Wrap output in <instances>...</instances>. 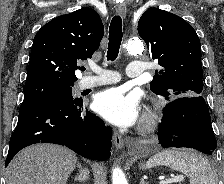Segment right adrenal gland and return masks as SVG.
<instances>
[{
	"label": "right adrenal gland",
	"mask_w": 224,
	"mask_h": 184,
	"mask_svg": "<svg viewBox=\"0 0 224 184\" xmlns=\"http://www.w3.org/2000/svg\"><path fill=\"white\" fill-rule=\"evenodd\" d=\"M77 167L79 168V173L75 177V181H79L80 183H84L89 179V170L81 165V163H77Z\"/></svg>",
	"instance_id": "right-adrenal-gland-1"
}]
</instances>
